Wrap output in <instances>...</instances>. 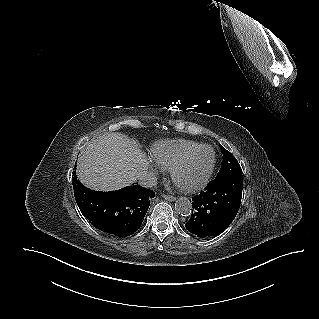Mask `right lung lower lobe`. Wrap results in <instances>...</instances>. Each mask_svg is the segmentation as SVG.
Segmentation results:
<instances>
[{
	"instance_id": "98d812e1",
	"label": "right lung lower lobe",
	"mask_w": 319,
	"mask_h": 319,
	"mask_svg": "<svg viewBox=\"0 0 319 319\" xmlns=\"http://www.w3.org/2000/svg\"><path fill=\"white\" fill-rule=\"evenodd\" d=\"M72 178L74 196L84 217L97 229L118 237L129 236L140 227L155 196L139 185L112 192L93 191L76 176Z\"/></svg>"
}]
</instances>
